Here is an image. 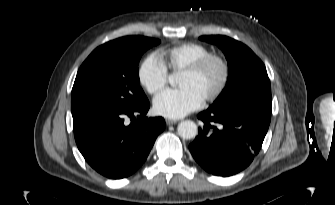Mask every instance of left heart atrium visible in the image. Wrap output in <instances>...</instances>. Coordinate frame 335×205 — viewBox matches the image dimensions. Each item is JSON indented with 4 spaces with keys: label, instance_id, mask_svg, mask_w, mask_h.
<instances>
[{
    "label": "left heart atrium",
    "instance_id": "left-heart-atrium-1",
    "mask_svg": "<svg viewBox=\"0 0 335 205\" xmlns=\"http://www.w3.org/2000/svg\"><path fill=\"white\" fill-rule=\"evenodd\" d=\"M204 98L191 87L169 89L157 95L153 102L156 114L168 118H181L199 109Z\"/></svg>",
    "mask_w": 335,
    "mask_h": 205
}]
</instances>
